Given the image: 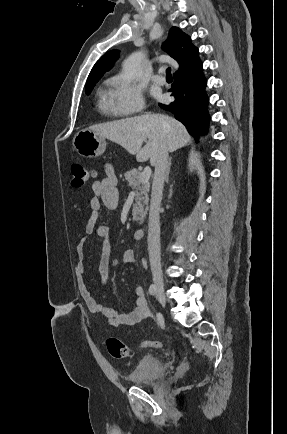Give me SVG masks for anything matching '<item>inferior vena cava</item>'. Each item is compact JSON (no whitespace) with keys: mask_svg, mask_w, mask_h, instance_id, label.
Wrapping results in <instances>:
<instances>
[{"mask_svg":"<svg viewBox=\"0 0 287 434\" xmlns=\"http://www.w3.org/2000/svg\"><path fill=\"white\" fill-rule=\"evenodd\" d=\"M155 172L152 183V193L148 224V252L153 281L162 283V270L160 258V204L166 171L168 167V147L164 141L160 147L155 161Z\"/></svg>","mask_w":287,"mask_h":434,"instance_id":"obj_1","label":"inferior vena cava"}]
</instances>
